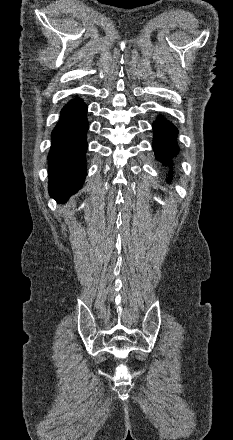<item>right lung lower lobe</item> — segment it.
I'll return each mask as SVG.
<instances>
[{"instance_id":"98d812e1","label":"right lung lower lobe","mask_w":233,"mask_h":440,"mask_svg":"<svg viewBox=\"0 0 233 440\" xmlns=\"http://www.w3.org/2000/svg\"><path fill=\"white\" fill-rule=\"evenodd\" d=\"M87 106L79 98L61 111L52 131L49 159V193L57 202L66 201L82 186L86 176L85 153L88 122Z\"/></svg>"}]
</instances>
